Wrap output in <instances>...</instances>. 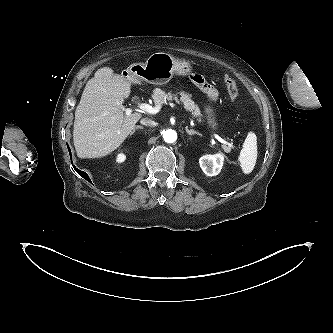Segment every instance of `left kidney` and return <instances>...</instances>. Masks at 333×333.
Listing matches in <instances>:
<instances>
[{
    "mask_svg": "<svg viewBox=\"0 0 333 333\" xmlns=\"http://www.w3.org/2000/svg\"><path fill=\"white\" fill-rule=\"evenodd\" d=\"M224 162L223 154L204 155L199 159V164L207 176H216L220 173Z\"/></svg>",
    "mask_w": 333,
    "mask_h": 333,
    "instance_id": "left-kidney-1",
    "label": "left kidney"
}]
</instances>
